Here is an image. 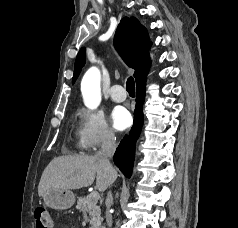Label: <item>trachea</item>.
Instances as JSON below:
<instances>
[{
  "instance_id": "3493384b",
  "label": "trachea",
  "mask_w": 238,
  "mask_h": 228,
  "mask_svg": "<svg viewBox=\"0 0 238 228\" xmlns=\"http://www.w3.org/2000/svg\"><path fill=\"white\" fill-rule=\"evenodd\" d=\"M126 90L129 95H135V83L133 77H129L126 82Z\"/></svg>"
}]
</instances>
